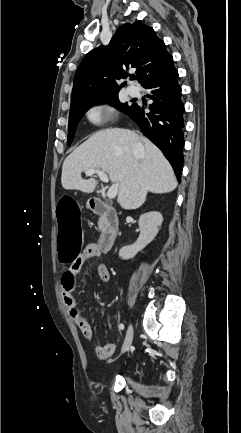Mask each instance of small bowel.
<instances>
[{"label":"small bowel","instance_id":"1","mask_svg":"<svg viewBox=\"0 0 241 433\" xmlns=\"http://www.w3.org/2000/svg\"><path fill=\"white\" fill-rule=\"evenodd\" d=\"M102 255L100 249L98 248V245L96 243L88 244L85 249L83 250L82 254L77 257L76 261H73L72 265H70V268H73L75 270V280L77 278V275L83 265V263L89 259V258H95L100 257ZM69 268V269H70ZM98 275L102 281H109L110 279V272L107 268V266L102 263L98 262L96 265ZM74 280V282H75ZM64 281V277L61 282V290H62V297L63 302L66 307V310L68 314L70 315L71 319L75 323V325L79 328L84 338L91 340L93 338V329L89 322L83 317L81 312L78 309V306L74 300V297L71 292H66L65 289L62 286V283ZM116 346L113 343H106L102 346H97L95 348V354L98 359L100 360H107L109 359L115 352Z\"/></svg>","mask_w":241,"mask_h":433}]
</instances>
